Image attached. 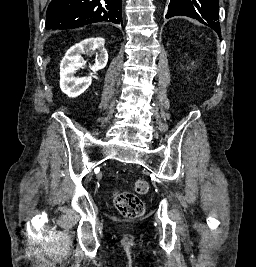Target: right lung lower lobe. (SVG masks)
<instances>
[{"mask_svg": "<svg viewBox=\"0 0 256 267\" xmlns=\"http://www.w3.org/2000/svg\"><path fill=\"white\" fill-rule=\"evenodd\" d=\"M122 0H52L47 9V30L71 29L108 21L122 24Z\"/></svg>", "mask_w": 256, "mask_h": 267, "instance_id": "obj_1", "label": "right lung lower lobe"}]
</instances>
